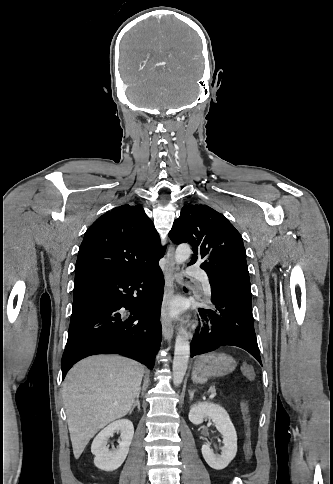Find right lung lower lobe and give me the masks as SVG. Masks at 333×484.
Instances as JSON below:
<instances>
[{
    "label": "right lung lower lobe",
    "instance_id": "98d812e1",
    "mask_svg": "<svg viewBox=\"0 0 333 484\" xmlns=\"http://www.w3.org/2000/svg\"><path fill=\"white\" fill-rule=\"evenodd\" d=\"M163 286L158 263L129 277L75 281L62 379L77 361L96 354H121L152 369L161 342Z\"/></svg>",
    "mask_w": 333,
    "mask_h": 484
}]
</instances>
